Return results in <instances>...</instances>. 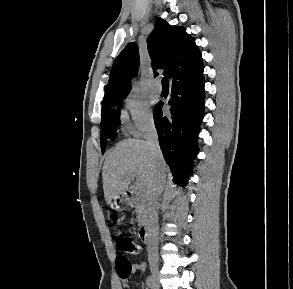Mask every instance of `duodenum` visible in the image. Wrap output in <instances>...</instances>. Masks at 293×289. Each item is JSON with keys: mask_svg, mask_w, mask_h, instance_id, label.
I'll use <instances>...</instances> for the list:
<instances>
[{"mask_svg": "<svg viewBox=\"0 0 293 289\" xmlns=\"http://www.w3.org/2000/svg\"><path fill=\"white\" fill-rule=\"evenodd\" d=\"M125 200L131 202L133 200V193L128 192ZM139 234L145 244H150L154 240V222L152 220H146L140 227Z\"/></svg>", "mask_w": 293, "mask_h": 289, "instance_id": "1", "label": "duodenum"}]
</instances>
